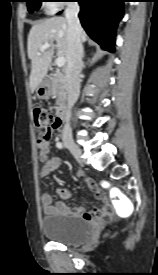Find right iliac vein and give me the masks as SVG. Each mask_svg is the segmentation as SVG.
I'll return each instance as SVG.
<instances>
[{"label":"right iliac vein","instance_id":"right-iliac-vein-1","mask_svg":"<svg viewBox=\"0 0 158 275\" xmlns=\"http://www.w3.org/2000/svg\"><path fill=\"white\" fill-rule=\"evenodd\" d=\"M64 144L77 159L81 158V149L72 139H65Z\"/></svg>","mask_w":158,"mask_h":275}]
</instances>
